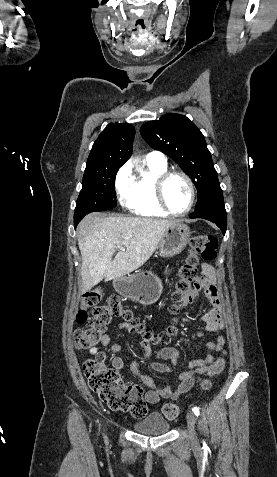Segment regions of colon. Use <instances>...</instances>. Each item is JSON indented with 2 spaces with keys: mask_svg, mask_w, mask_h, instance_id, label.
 <instances>
[{
  "mask_svg": "<svg viewBox=\"0 0 277 477\" xmlns=\"http://www.w3.org/2000/svg\"><path fill=\"white\" fill-rule=\"evenodd\" d=\"M217 240L211 235L195 236L190 242V250L184 264L179 269V276L175 282L173 293L172 312L177 314L185 307L187 300L199 287L198 262L199 257L204 260L216 258ZM103 291L100 288L87 292L82 299L81 308L76 315V322L85 324V328L75 331V346L78 349H89L98 345L105 335L109 324L114 318H122L131 327V332L140 334L147 342L169 344L176 333V328L170 327L161 333H154L146 328L133 314L125 308L117 297H111L106 304H101ZM88 310L91 315L88 316ZM225 366V359L218 358L209 368L207 374H219ZM84 373L89 387L99 399L114 411L129 412L135 417L146 414L147 408L142 399V390L137 385H127L120 379L119 374L108 366L103 358L88 359L85 361ZM201 387H209L208 380L201 381ZM180 409L176 404L169 403L163 407L166 418L174 419Z\"/></svg>",
  "mask_w": 277,
  "mask_h": 477,
  "instance_id": "obj_1",
  "label": "colon"
}]
</instances>
